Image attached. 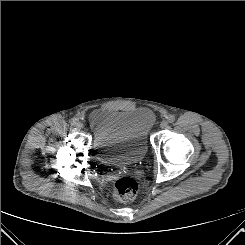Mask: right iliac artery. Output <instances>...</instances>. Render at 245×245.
Listing matches in <instances>:
<instances>
[{
    "label": "right iliac artery",
    "mask_w": 245,
    "mask_h": 245,
    "mask_svg": "<svg viewBox=\"0 0 245 245\" xmlns=\"http://www.w3.org/2000/svg\"><path fill=\"white\" fill-rule=\"evenodd\" d=\"M76 121H77L76 118H72V119H70L69 123H70L71 125H75V124H76Z\"/></svg>",
    "instance_id": "obj_1"
}]
</instances>
